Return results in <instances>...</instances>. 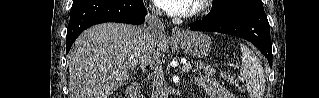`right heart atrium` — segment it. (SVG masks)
<instances>
[{"mask_svg":"<svg viewBox=\"0 0 319 98\" xmlns=\"http://www.w3.org/2000/svg\"><path fill=\"white\" fill-rule=\"evenodd\" d=\"M151 10H152V12H154V13H157V12H158V9H156V8H152Z\"/></svg>","mask_w":319,"mask_h":98,"instance_id":"1","label":"right heart atrium"}]
</instances>
